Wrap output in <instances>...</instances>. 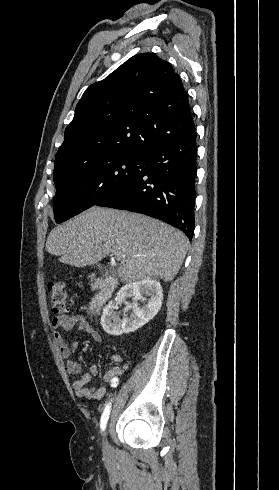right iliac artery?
Wrapping results in <instances>:
<instances>
[{"label":"right iliac artery","mask_w":279,"mask_h":490,"mask_svg":"<svg viewBox=\"0 0 279 490\" xmlns=\"http://www.w3.org/2000/svg\"><path fill=\"white\" fill-rule=\"evenodd\" d=\"M111 381H112V384L111 385H112V388L113 389L116 388V387H118V385H119L120 382H119V380H118V378L116 376H113L111 378ZM110 411H111V403H108V404H106L105 410H104V412H103V414L101 416L100 427H101L102 430H104L106 428V424H107V421L109 419Z\"/></svg>","instance_id":"right-iliac-artery-1"}]
</instances>
